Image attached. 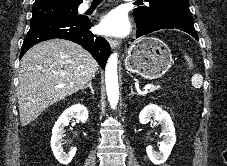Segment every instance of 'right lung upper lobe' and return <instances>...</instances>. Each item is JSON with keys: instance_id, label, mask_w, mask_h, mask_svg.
Listing matches in <instances>:
<instances>
[{"instance_id": "cb5924a9", "label": "right lung upper lobe", "mask_w": 227, "mask_h": 166, "mask_svg": "<svg viewBox=\"0 0 227 166\" xmlns=\"http://www.w3.org/2000/svg\"><path fill=\"white\" fill-rule=\"evenodd\" d=\"M50 3L79 5L82 3V0H35L34 5L50 4Z\"/></svg>"}]
</instances>
